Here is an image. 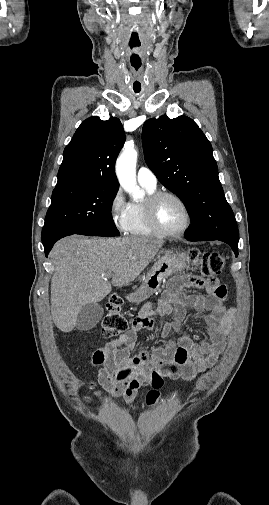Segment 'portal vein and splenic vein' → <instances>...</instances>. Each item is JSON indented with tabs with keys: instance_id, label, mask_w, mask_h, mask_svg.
<instances>
[{
	"instance_id": "portal-vein-and-splenic-vein-1",
	"label": "portal vein and splenic vein",
	"mask_w": 269,
	"mask_h": 505,
	"mask_svg": "<svg viewBox=\"0 0 269 505\" xmlns=\"http://www.w3.org/2000/svg\"><path fill=\"white\" fill-rule=\"evenodd\" d=\"M110 277V275H106V278Z\"/></svg>"
}]
</instances>
